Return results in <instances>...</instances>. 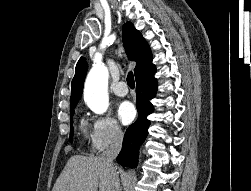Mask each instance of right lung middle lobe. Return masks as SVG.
Instances as JSON below:
<instances>
[{"mask_svg":"<svg viewBox=\"0 0 251 191\" xmlns=\"http://www.w3.org/2000/svg\"><path fill=\"white\" fill-rule=\"evenodd\" d=\"M76 105H73V106H70V113H71V116H70V128H71V131H70V138L69 140L72 141V138H73V114H74V108H75Z\"/></svg>","mask_w":251,"mask_h":191,"instance_id":"right-lung-middle-lobe-1","label":"right lung middle lobe"}]
</instances>
